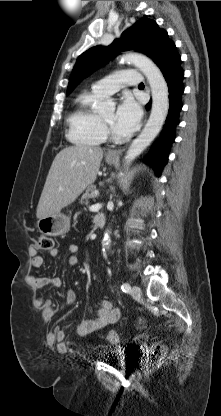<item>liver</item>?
Wrapping results in <instances>:
<instances>
[{
	"instance_id": "liver-1",
	"label": "liver",
	"mask_w": 221,
	"mask_h": 416,
	"mask_svg": "<svg viewBox=\"0 0 221 416\" xmlns=\"http://www.w3.org/2000/svg\"><path fill=\"white\" fill-rule=\"evenodd\" d=\"M103 158L100 147L69 146L54 158L39 199L38 219L57 213L73 203L94 181Z\"/></svg>"
}]
</instances>
